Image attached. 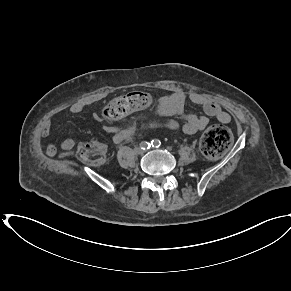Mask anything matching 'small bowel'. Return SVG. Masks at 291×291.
<instances>
[{
  "instance_id": "obj_1",
  "label": "small bowel",
  "mask_w": 291,
  "mask_h": 291,
  "mask_svg": "<svg viewBox=\"0 0 291 291\" xmlns=\"http://www.w3.org/2000/svg\"><path fill=\"white\" fill-rule=\"evenodd\" d=\"M103 99V96H87L79 99L70 105L68 111L72 115L82 113L88 106L95 104ZM191 102L194 105L199 106L204 114L197 115L190 113L186 110V103ZM152 114L161 116H177L184 120L183 124H180L173 119L154 120L146 124L148 128H165L168 130H182L185 134L193 135L200 130L205 129L210 121V118H215L218 122L227 124L231 121L230 114L223 110L221 106L213 100L210 96L199 92H166L162 94L156 105L151 110ZM95 121H99L98 115H93ZM51 119L45 121L41 136L46 138L50 134ZM104 131L112 136L113 142L116 144L130 140L136 133V128L119 129L112 125H106L103 127ZM102 147L103 151L107 150L103 144H98ZM43 151L48 156L57 155V148L52 142H48L43 145ZM61 152L59 157H68L73 153L75 148V141L72 138L64 139L60 144Z\"/></svg>"
}]
</instances>
